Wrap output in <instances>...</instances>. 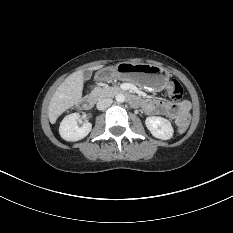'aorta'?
Wrapping results in <instances>:
<instances>
[{
  "label": "aorta",
  "mask_w": 233,
  "mask_h": 233,
  "mask_svg": "<svg viewBox=\"0 0 233 233\" xmlns=\"http://www.w3.org/2000/svg\"><path fill=\"white\" fill-rule=\"evenodd\" d=\"M125 95L124 94H117L116 95V101L118 102V103H123L124 101H125Z\"/></svg>",
  "instance_id": "762f6f07"
}]
</instances>
